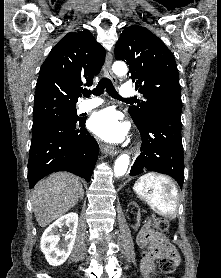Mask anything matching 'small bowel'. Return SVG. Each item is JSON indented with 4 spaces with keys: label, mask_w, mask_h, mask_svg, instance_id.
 I'll list each match as a JSON object with an SVG mask.
<instances>
[{
    "label": "small bowel",
    "mask_w": 221,
    "mask_h": 278,
    "mask_svg": "<svg viewBox=\"0 0 221 278\" xmlns=\"http://www.w3.org/2000/svg\"><path fill=\"white\" fill-rule=\"evenodd\" d=\"M137 244L144 249L142 254V270L145 278H150L154 272L155 262L164 255L178 261V254L166 241L164 234L151 227L150 221H145L137 235Z\"/></svg>",
    "instance_id": "small-bowel-1"
}]
</instances>
